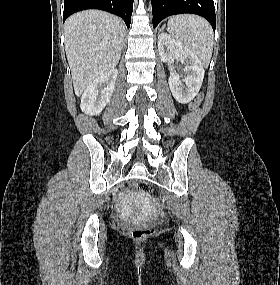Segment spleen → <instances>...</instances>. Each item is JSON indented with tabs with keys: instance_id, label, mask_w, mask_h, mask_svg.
<instances>
[{
	"instance_id": "1",
	"label": "spleen",
	"mask_w": 280,
	"mask_h": 285,
	"mask_svg": "<svg viewBox=\"0 0 280 285\" xmlns=\"http://www.w3.org/2000/svg\"><path fill=\"white\" fill-rule=\"evenodd\" d=\"M172 37L191 50L208 67L212 57L214 34L210 24L195 15H177L168 21Z\"/></svg>"
}]
</instances>
